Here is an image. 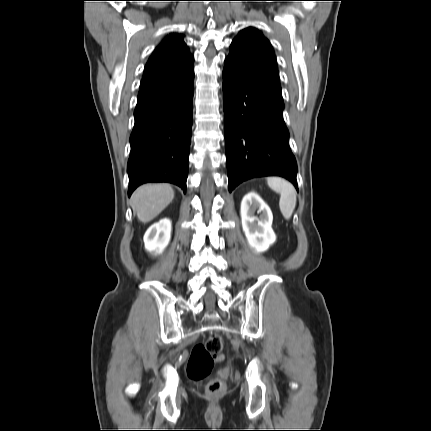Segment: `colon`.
Here are the masks:
<instances>
[{
    "mask_svg": "<svg viewBox=\"0 0 431 431\" xmlns=\"http://www.w3.org/2000/svg\"><path fill=\"white\" fill-rule=\"evenodd\" d=\"M223 349L222 337L217 333H211L203 343L196 344L191 352L187 374L195 382H202L207 379L214 367L215 361L223 363L225 354H221ZM224 389V383L218 378L208 382L206 391L211 396L220 394Z\"/></svg>",
    "mask_w": 431,
    "mask_h": 431,
    "instance_id": "1",
    "label": "colon"
}]
</instances>
